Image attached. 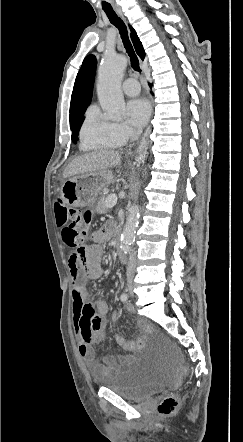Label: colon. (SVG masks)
<instances>
[{"label":"colon","instance_id":"colon-1","mask_svg":"<svg viewBox=\"0 0 243 442\" xmlns=\"http://www.w3.org/2000/svg\"><path fill=\"white\" fill-rule=\"evenodd\" d=\"M56 225L62 228V240L64 244L75 251L70 258L75 262L84 256L85 242L87 240L91 215L89 211L82 212L79 209L69 207L62 198L54 202ZM186 372L187 369L185 368ZM178 409V398L168 395L158 405V413L169 416Z\"/></svg>","mask_w":243,"mask_h":442}]
</instances>
